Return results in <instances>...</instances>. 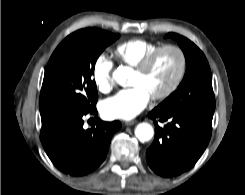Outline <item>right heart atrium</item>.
<instances>
[{"mask_svg":"<svg viewBox=\"0 0 245 195\" xmlns=\"http://www.w3.org/2000/svg\"><path fill=\"white\" fill-rule=\"evenodd\" d=\"M112 61L105 55H99L92 66V81L101 93H108L113 89L114 82L112 79Z\"/></svg>","mask_w":245,"mask_h":195,"instance_id":"1","label":"right heart atrium"}]
</instances>
